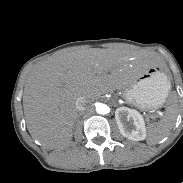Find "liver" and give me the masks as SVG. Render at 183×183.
Listing matches in <instances>:
<instances>
[{"label": "liver", "instance_id": "6515ba94", "mask_svg": "<svg viewBox=\"0 0 183 183\" xmlns=\"http://www.w3.org/2000/svg\"><path fill=\"white\" fill-rule=\"evenodd\" d=\"M151 64L143 53L99 48L68 51L36 63L23 94L29 133L48 149L66 146L73 137L79 97L88 105L104 93L124 90Z\"/></svg>", "mask_w": 183, "mask_h": 183}]
</instances>
